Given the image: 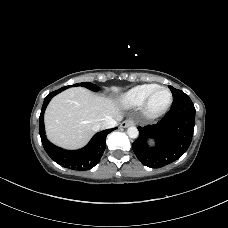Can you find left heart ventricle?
<instances>
[{"label": "left heart ventricle", "instance_id": "left-heart-ventricle-1", "mask_svg": "<svg viewBox=\"0 0 228 228\" xmlns=\"http://www.w3.org/2000/svg\"><path fill=\"white\" fill-rule=\"evenodd\" d=\"M170 95L167 90H158L150 102V109L152 111H159L163 109L169 102Z\"/></svg>", "mask_w": 228, "mask_h": 228}]
</instances>
